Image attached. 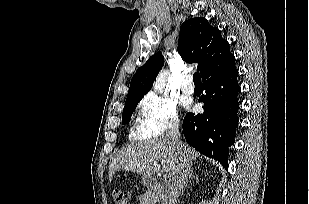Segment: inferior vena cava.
<instances>
[{"instance_id":"1","label":"inferior vena cava","mask_w":309,"mask_h":204,"mask_svg":"<svg viewBox=\"0 0 309 204\" xmlns=\"http://www.w3.org/2000/svg\"><path fill=\"white\" fill-rule=\"evenodd\" d=\"M165 138L174 147L178 163L167 185L166 193L162 204H176L177 198L183 190L188 174L190 172V162L186 157L184 147L180 141L179 123H175L166 133Z\"/></svg>"}]
</instances>
